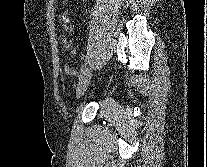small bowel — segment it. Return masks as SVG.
<instances>
[{
  "label": "small bowel",
  "mask_w": 207,
  "mask_h": 167,
  "mask_svg": "<svg viewBox=\"0 0 207 167\" xmlns=\"http://www.w3.org/2000/svg\"><path fill=\"white\" fill-rule=\"evenodd\" d=\"M67 1L68 0H62V2H64V3ZM63 47L69 52V54L72 57H76L77 53H76V50L73 48V43L71 40L63 38ZM63 69H64L65 74H67L69 76L78 75V71L70 65H65Z\"/></svg>",
  "instance_id": "1"
}]
</instances>
